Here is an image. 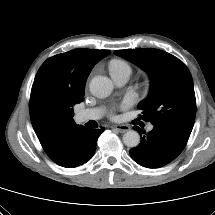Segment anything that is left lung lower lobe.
<instances>
[{"instance_id":"0a47b994","label":"left lung lower lobe","mask_w":215,"mask_h":215,"mask_svg":"<svg viewBox=\"0 0 215 215\" xmlns=\"http://www.w3.org/2000/svg\"><path fill=\"white\" fill-rule=\"evenodd\" d=\"M152 131L145 133L137 147L130 150V156L139 165L146 168H160L174 160L184 149L187 140L170 130L153 125ZM140 134L141 129L134 127Z\"/></svg>"}]
</instances>
